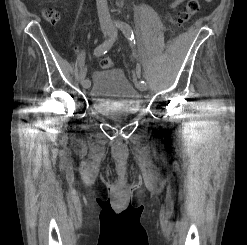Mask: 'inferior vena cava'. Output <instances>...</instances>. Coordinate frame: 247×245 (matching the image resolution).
Here are the masks:
<instances>
[{"label": "inferior vena cava", "mask_w": 247, "mask_h": 245, "mask_svg": "<svg viewBox=\"0 0 247 245\" xmlns=\"http://www.w3.org/2000/svg\"><path fill=\"white\" fill-rule=\"evenodd\" d=\"M96 3L101 27H110L111 19L108 10L107 0H96Z\"/></svg>", "instance_id": "inferior-vena-cava-1"}]
</instances>
